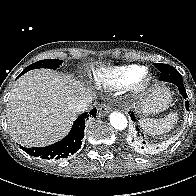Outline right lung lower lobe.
<instances>
[{
    "label": "right lung lower lobe",
    "mask_w": 196,
    "mask_h": 196,
    "mask_svg": "<svg viewBox=\"0 0 196 196\" xmlns=\"http://www.w3.org/2000/svg\"><path fill=\"white\" fill-rule=\"evenodd\" d=\"M22 74L23 73H21L20 76ZM96 112V108H94L89 114L86 112L80 115L74 122L69 134L57 143L46 147H21V149L31 156L40 157L42 159L66 158L80 149L84 137L85 122L89 117H95Z\"/></svg>",
    "instance_id": "98d812e1"
}]
</instances>
